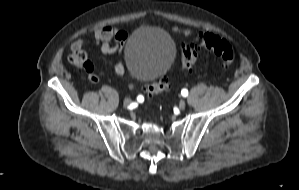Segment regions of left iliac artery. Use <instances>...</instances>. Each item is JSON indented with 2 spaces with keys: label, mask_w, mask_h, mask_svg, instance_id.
<instances>
[{
  "label": "left iliac artery",
  "mask_w": 299,
  "mask_h": 190,
  "mask_svg": "<svg viewBox=\"0 0 299 190\" xmlns=\"http://www.w3.org/2000/svg\"><path fill=\"white\" fill-rule=\"evenodd\" d=\"M181 94L184 97L188 96V90L187 89H182Z\"/></svg>",
  "instance_id": "obj_1"
}]
</instances>
